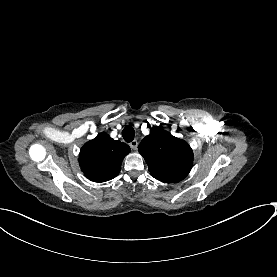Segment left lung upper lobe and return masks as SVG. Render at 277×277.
<instances>
[{
  "instance_id": "obj_1",
  "label": "left lung upper lobe",
  "mask_w": 277,
  "mask_h": 277,
  "mask_svg": "<svg viewBox=\"0 0 277 277\" xmlns=\"http://www.w3.org/2000/svg\"><path fill=\"white\" fill-rule=\"evenodd\" d=\"M150 174L155 179L174 183L183 180L193 164V151L187 142L162 128H152L138 146Z\"/></svg>"
}]
</instances>
